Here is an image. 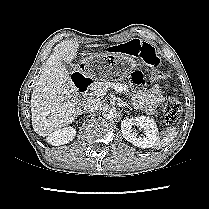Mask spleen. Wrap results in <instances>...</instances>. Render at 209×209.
I'll return each instance as SVG.
<instances>
[{
  "label": "spleen",
  "instance_id": "spleen-1",
  "mask_svg": "<svg viewBox=\"0 0 209 209\" xmlns=\"http://www.w3.org/2000/svg\"><path fill=\"white\" fill-rule=\"evenodd\" d=\"M178 131L176 128H168L163 135V138L158 143L159 147L167 146L171 141H173L177 137Z\"/></svg>",
  "mask_w": 209,
  "mask_h": 209
}]
</instances>
